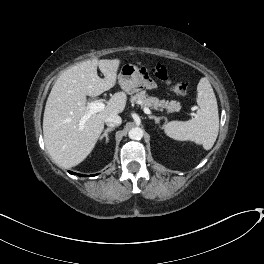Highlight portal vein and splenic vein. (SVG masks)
<instances>
[{"instance_id":"obj_1","label":"portal vein and splenic vein","mask_w":264,"mask_h":264,"mask_svg":"<svg viewBox=\"0 0 264 264\" xmlns=\"http://www.w3.org/2000/svg\"><path fill=\"white\" fill-rule=\"evenodd\" d=\"M89 110L87 113L81 118L80 124L83 125L93 114H96L102 111L105 108V104L101 101H93L88 104ZM145 114H151L149 108L145 107L143 109Z\"/></svg>"}]
</instances>
